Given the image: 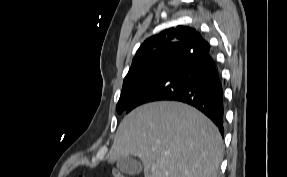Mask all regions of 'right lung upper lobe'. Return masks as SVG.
Masks as SVG:
<instances>
[{"instance_id": "1", "label": "right lung upper lobe", "mask_w": 287, "mask_h": 177, "mask_svg": "<svg viewBox=\"0 0 287 177\" xmlns=\"http://www.w3.org/2000/svg\"><path fill=\"white\" fill-rule=\"evenodd\" d=\"M198 35L199 33L191 27L177 26L148 38L137 50L125 78L170 56L183 60L194 50V42Z\"/></svg>"}]
</instances>
